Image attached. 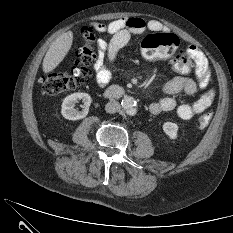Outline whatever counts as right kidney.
Segmentation results:
<instances>
[{
	"instance_id": "ca27d5eb",
	"label": "right kidney",
	"mask_w": 233,
	"mask_h": 233,
	"mask_svg": "<svg viewBox=\"0 0 233 233\" xmlns=\"http://www.w3.org/2000/svg\"><path fill=\"white\" fill-rule=\"evenodd\" d=\"M80 100L84 103L83 110L78 111L76 110L75 104L78 103ZM91 104V97L87 93H73L67 96L61 105V114L65 119L68 120H80L87 116L89 106Z\"/></svg>"
}]
</instances>
